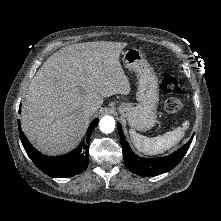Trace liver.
Masks as SVG:
<instances>
[{
	"mask_svg": "<svg viewBox=\"0 0 221 221\" xmlns=\"http://www.w3.org/2000/svg\"><path fill=\"white\" fill-rule=\"evenodd\" d=\"M127 43L96 41L66 46L50 56L31 80L23 104L21 127L43 153L68 151L104 97L130 93L120 52Z\"/></svg>",
	"mask_w": 221,
	"mask_h": 221,
	"instance_id": "1",
	"label": "liver"
}]
</instances>
